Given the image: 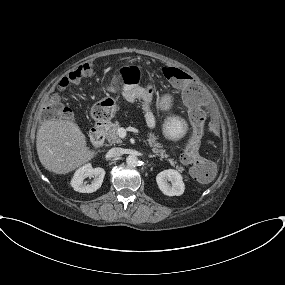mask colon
<instances>
[{
  "instance_id": "obj_1",
  "label": "colon",
  "mask_w": 285,
  "mask_h": 285,
  "mask_svg": "<svg viewBox=\"0 0 285 285\" xmlns=\"http://www.w3.org/2000/svg\"><path fill=\"white\" fill-rule=\"evenodd\" d=\"M93 72L92 66L89 63H84L64 76L59 82L58 87L60 92L53 93L45 101L42 107L43 117L55 118L60 115H67L68 112L64 106L61 93L65 92L70 85L76 84L82 79L92 76ZM161 72L169 81L183 83L186 99L188 101L197 102L198 98L194 92V86L188 81L184 73L174 67H163L161 68ZM121 73L125 78L126 83L129 84L130 79L138 74V68L136 66L124 68ZM100 107L101 103L95 107L93 113L96 114L97 109ZM188 117L193 129V134L180 159L182 163L192 165L191 173L194 177L204 181L208 179L214 170L213 164L199 154L205 124V115L200 106H192L188 110Z\"/></svg>"
}]
</instances>
